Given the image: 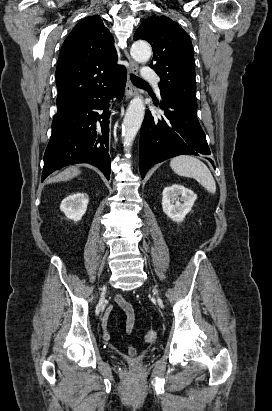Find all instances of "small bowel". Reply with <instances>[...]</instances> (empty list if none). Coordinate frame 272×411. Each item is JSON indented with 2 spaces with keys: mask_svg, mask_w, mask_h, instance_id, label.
<instances>
[{
  "mask_svg": "<svg viewBox=\"0 0 272 411\" xmlns=\"http://www.w3.org/2000/svg\"><path fill=\"white\" fill-rule=\"evenodd\" d=\"M116 304L122 308V310L125 312L126 315V322H125V328L126 332L128 334H131L134 329V323H135V313L133 310V307L131 306L130 303H128L125 298L122 295H117L115 298ZM102 329H103V339L108 342L110 340V334L107 332V325H106V318L104 319L102 323ZM128 355H133L135 353V349L132 347H129L127 349Z\"/></svg>",
  "mask_w": 272,
  "mask_h": 411,
  "instance_id": "small-bowel-1",
  "label": "small bowel"
}]
</instances>
